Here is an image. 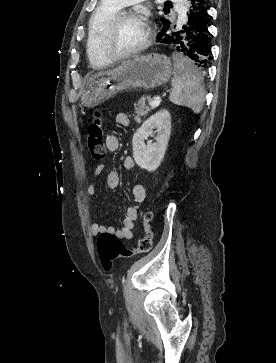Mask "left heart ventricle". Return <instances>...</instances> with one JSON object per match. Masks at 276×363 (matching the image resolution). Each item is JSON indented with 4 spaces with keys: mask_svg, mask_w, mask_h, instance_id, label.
I'll return each mask as SVG.
<instances>
[{
    "mask_svg": "<svg viewBox=\"0 0 276 363\" xmlns=\"http://www.w3.org/2000/svg\"><path fill=\"white\" fill-rule=\"evenodd\" d=\"M144 37V27L135 19L122 21L106 38V45L113 54L135 48Z\"/></svg>",
    "mask_w": 276,
    "mask_h": 363,
    "instance_id": "obj_1",
    "label": "left heart ventricle"
}]
</instances>
